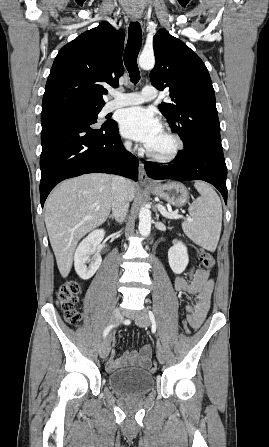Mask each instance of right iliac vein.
Here are the masks:
<instances>
[{"instance_id":"1","label":"right iliac vein","mask_w":269,"mask_h":447,"mask_svg":"<svg viewBox=\"0 0 269 447\" xmlns=\"http://www.w3.org/2000/svg\"><path fill=\"white\" fill-rule=\"evenodd\" d=\"M121 321H122L121 310L119 308H116L111 314L110 324L117 325ZM110 338H111V334L101 342V345L99 348V355L102 359H105L110 352Z\"/></svg>"}]
</instances>
